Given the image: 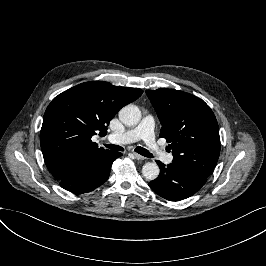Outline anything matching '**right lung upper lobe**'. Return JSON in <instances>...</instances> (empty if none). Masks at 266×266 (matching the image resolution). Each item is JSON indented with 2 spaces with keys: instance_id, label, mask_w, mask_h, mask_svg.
Segmentation results:
<instances>
[{
  "instance_id": "obj_1",
  "label": "right lung upper lobe",
  "mask_w": 266,
  "mask_h": 266,
  "mask_svg": "<svg viewBox=\"0 0 266 266\" xmlns=\"http://www.w3.org/2000/svg\"><path fill=\"white\" fill-rule=\"evenodd\" d=\"M143 91L90 81L59 94L47 107L40 132L46 166L55 179H61L74 161L106 150L91 137L107 134V126L125 105Z\"/></svg>"
}]
</instances>
